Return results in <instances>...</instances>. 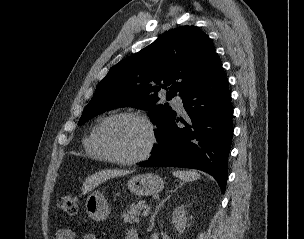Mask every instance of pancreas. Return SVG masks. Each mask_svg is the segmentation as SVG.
Returning <instances> with one entry per match:
<instances>
[{
	"instance_id": "obj_1",
	"label": "pancreas",
	"mask_w": 304,
	"mask_h": 239,
	"mask_svg": "<svg viewBox=\"0 0 304 239\" xmlns=\"http://www.w3.org/2000/svg\"><path fill=\"white\" fill-rule=\"evenodd\" d=\"M146 208V205L142 202L137 204H131L129 207L124 210L122 214V219L125 223H135L139 221V215L142 209Z\"/></svg>"
}]
</instances>
